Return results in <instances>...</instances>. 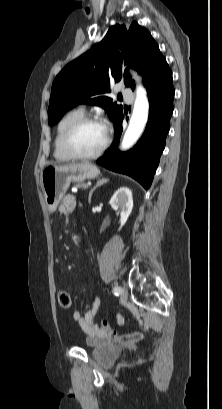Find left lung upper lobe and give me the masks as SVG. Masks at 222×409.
I'll list each match as a JSON object with an SVG mask.
<instances>
[{"label": "left lung upper lobe", "instance_id": "left-lung-upper-lobe-1", "mask_svg": "<svg viewBox=\"0 0 222 409\" xmlns=\"http://www.w3.org/2000/svg\"><path fill=\"white\" fill-rule=\"evenodd\" d=\"M122 63L136 69L143 76L145 86L169 69L145 28L136 22L130 27L116 24L109 28L101 42L67 64L54 79L48 108L49 125L57 124L66 111L81 103L101 106L114 122L123 108L105 95L110 92V80H124L132 89L135 86L127 70L122 72Z\"/></svg>", "mask_w": 222, "mask_h": 409}]
</instances>
